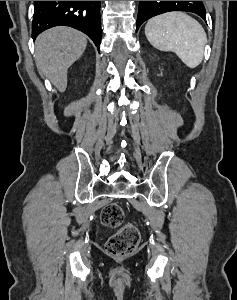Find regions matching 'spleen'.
<instances>
[{
	"mask_svg": "<svg viewBox=\"0 0 237 300\" xmlns=\"http://www.w3.org/2000/svg\"><path fill=\"white\" fill-rule=\"evenodd\" d=\"M145 35L159 51H172L190 69L203 61L207 35L200 23L186 13H164L149 19Z\"/></svg>",
	"mask_w": 237,
	"mask_h": 300,
	"instance_id": "1",
	"label": "spleen"
}]
</instances>
